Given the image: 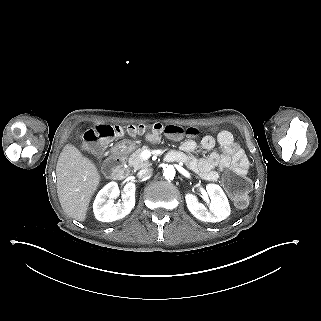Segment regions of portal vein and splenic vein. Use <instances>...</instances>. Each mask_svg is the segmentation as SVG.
<instances>
[{
    "mask_svg": "<svg viewBox=\"0 0 321 321\" xmlns=\"http://www.w3.org/2000/svg\"><path fill=\"white\" fill-rule=\"evenodd\" d=\"M154 153V151L153 150H144V151H142V153H141V159L142 160H147L149 157L147 156V154H153Z\"/></svg>",
    "mask_w": 321,
    "mask_h": 321,
    "instance_id": "1",
    "label": "portal vein and splenic vein"
}]
</instances>
